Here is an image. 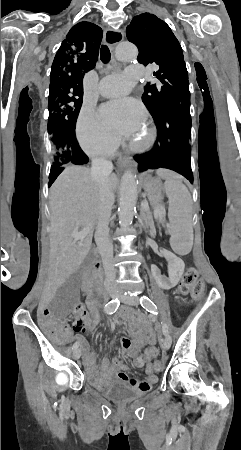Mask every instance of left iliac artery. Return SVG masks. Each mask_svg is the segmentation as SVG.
Segmentation results:
<instances>
[{"mask_svg":"<svg viewBox=\"0 0 241 450\" xmlns=\"http://www.w3.org/2000/svg\"><path fill=\"white\" fill-rule=\"evenodd\" d=\"M140 304H141V306L144 308V309H146L148 312H150V313H152V314H154V315H157L158 314V312H157V306L154 304V302L150 299V298H148L147 296H145V295H143L141 298H140ZM161 324H162V331H163V334L164 335H167L168 334V327H167V325L162 321L161 322Z\"/></svg>","mask_w":241,"mask_h":450,"instance_id":"44dca946","label":"left iliac artery"}]
</instances>
